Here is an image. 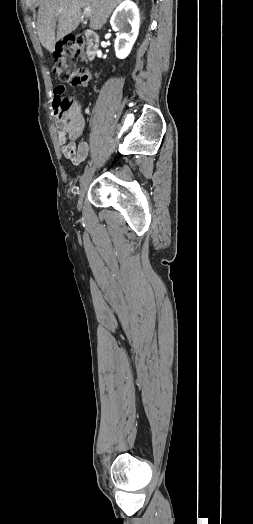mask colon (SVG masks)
<instances>
[{
    "mask_svg": "<svg viewBox=\"0 0 253 524\" xmlns=\"http://www.w3.org/2000/svg\"><path fill=\"white\" fill-rule=\"evenodd\" d=\"M86 47L87 40L83 36L73 34L65 36L56 45L53 71L62 82L78 86L80 90L88 93L92 86L88 72L85 68L76 66L78 60L83 57ZM72 103L71 98L60 97L53 104L55 115L60 116L68 111Z\"/></svg>",
    "mask_w": 253,
    "mask_h": 524,
    "instance_id": "1",
    "label": "colon"
}]
</instances>
